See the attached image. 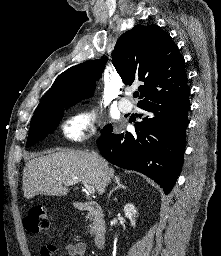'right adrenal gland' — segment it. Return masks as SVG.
Segmentation results:
<instances>
[{
    "instance_id": "right-adrenal-gland-1",
    "label": "right adrenal gland",
    "mask_w": 221,
    "mask_h": 256,
    "mask_svg": "<svg viewBox=\"0 0 221 256\" xmlns=\"http://www.w3.org/2000/svg\"><path fill=\"white\" fill-rule=\"evenodd\" d=\"M114 182H115L116 186L114 187V189H112V190L110 191V193H109V195H108V198H110V196L112 195V193H113L115 190H117V189H119V188L126 189V186H124L123 184H121L119 176H115V177H114Z\"/></svg>"
}]
</instances>
